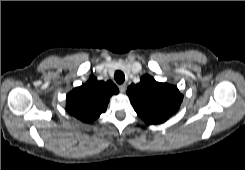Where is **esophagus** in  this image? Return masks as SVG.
Returning <instances> with one entry per match:
<instances>
[{
	"mask_svg": "<svg viewBox=\"0 0 245 170\" xmlns=\"http://www.w3.org/2000/svg\"><path fill=\"white\" fill-rule=\"evenodd\" d=\"M118 87H119L120 92H122V93L125 92V90H126V84H121Z\"/></svg>",
	"mask_w": 245,
	"mask_h": 170,
	"instance_id": "1",
	"label": "esophagus"
}]
</instances>
